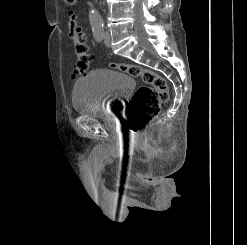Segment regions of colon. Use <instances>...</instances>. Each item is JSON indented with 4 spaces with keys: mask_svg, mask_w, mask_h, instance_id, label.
Here are the masks:
<instances>
[{
    "mask_svg": "<svg viewBox=\"0 0 247 245\" xmlns=\"http://www.w3.org/2000/svg\"><path fill=\"white\" fill-rule=\"evenodd\" d=\"M64 3L67 6H72L75 0H64ZM71 36L76 43L77 54V61L72 68V76L78 77L88 72L92 55L85 38H81L75 32H71ZM110 66L130 76L140 78L145 84L134 92L127 106L128 128L133 133H139L148 122L158 116L162 105L167 101L166 81L156 72L134 64L113 62Z\"/></svg>",
    "mask_w": 247,
    "mask_h": 245,
    "instance_id": "1",
    "label": "colon"
}]
</instances>
